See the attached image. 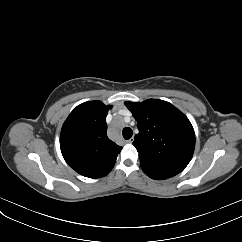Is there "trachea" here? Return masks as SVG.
I'll list each match as a JSON object with an SVG mask.
<instances>
[{"label":"trachea","instance_id":"obj_1","mask_svg":"<svg viewBox=\"0 0 242 242\" xmlns=\"http://www.w3.org/2000/svg\"><path fill=\"white\" fill-rule=\"evenodd\" d=\"M122 135H123V137H124L126 140H128V139H130V138L132 137V135H133V131H132L131 128H129V127H125V128L123 129V131H122Z\"/></svg>","mask_w":242,"mask_h":242}]
</instances>
